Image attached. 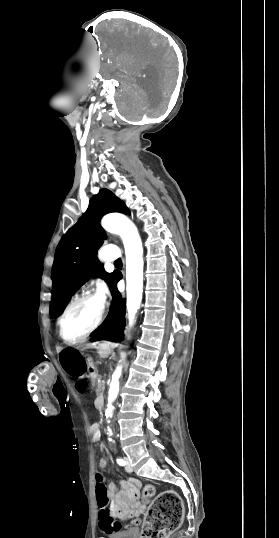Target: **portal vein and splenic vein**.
<instances>
[{"label":"portal vein and splenic vein","mask_w":279,"mask_h":538,"mask_svg":"<svg viewBox=\"0 0 279 538\" xmlns=\"http://www.w3.org/2000/svg\"><path fill=\"white\" fill-rule=\"evenodd\" d=\"M100 383H104V380H100Z\"/></svg>","instance_id":"obj_1"}]
</instances>
